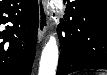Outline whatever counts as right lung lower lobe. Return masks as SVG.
<instances>
[{
    "mask_svg": "<svg viewBox=\"0 0 107 75\" xmlns=\"http://www.w3.org/2000/svg\"><path fill=\"white\" fill-rule=\"evenodd\" d=\"M0 75H30L39 23L37 0H2L0 24Z\"/></svg>",
    "mask_w": 107,
    "mask_h": 75,
    "instance_id": "98d812e1",
    "label": "right lung lower lobe"
}]
</instances>
